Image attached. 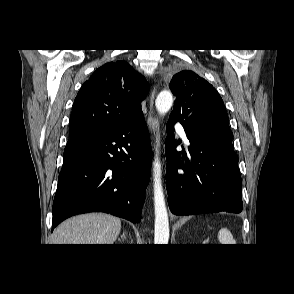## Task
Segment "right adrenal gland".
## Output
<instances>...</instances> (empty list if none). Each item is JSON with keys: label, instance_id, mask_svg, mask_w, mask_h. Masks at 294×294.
<instances>
[{"label": "right adrenal gland", "instance_id": "right-adrenal-gland-1", "mask_svg": "<svg viewBox=\"0 0 294 294\" xmlns=\"http://www.w3.org/2000/svg\"><path fill=\"white\" fill-rule=\"evenodd\" d=\"M126 231L125 232H123V234L121 235V239H126ZM119 240H120V238H119Z\"/></svg>", "mask_w": 294, "mask_h": 294}]
</instances>
